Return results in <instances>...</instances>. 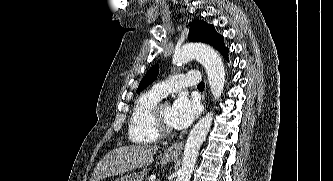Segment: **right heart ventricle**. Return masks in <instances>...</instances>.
Instances as JSON below:
<instances>
[{
  "label": "right heart ventricle",
  "mask_w": 333,
  "mask_h": 181,
  "mask_svg": "<svg viewBox=\"0 0 333 181\" xmlns=\"http://www.w3.org/2000/svg\"><path fill=\"white\" fill-rule=\"evenodd\" d=\"M161 97L152 91L141 94L132 109L128 136L137 144H152L158 141L160 135L154 130L151 114Z\"/></svg>",
  "instance_id": "right-heart-ventricle-1"
}]
</instances>
